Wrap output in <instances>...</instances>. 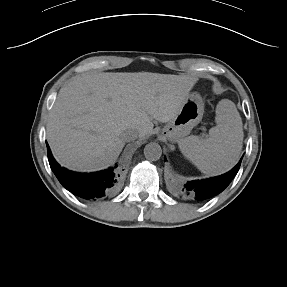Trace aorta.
Masks as SVG:
<instances>
[{"instance_id":"aorta-1","label":"aorta","mask_w":287,"mask_h":287,"mask_svg":"<svg viewBox=\"0 0 287 287\" xmlns=\"http://www.w3.org/2000/svg\"><path fill=\"white\" fill-rule=\"evenodd\" d=\"M162 155L161 146L158 143L150 142L144 148V156L147 160L157 161Z\"/></svg>"}]
</instances>
